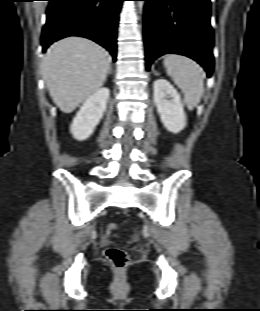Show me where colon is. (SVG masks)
<instances>
[{
  "mask_svg": "<svg viewBox=\"0 0 260 311\" xmlns=\"http://www.w3.org/2000/svg\"><path fill=\"white\" fill-rule=\"evenodd\" d=\"M118 229V225L115 223H109L106 228V234L111 235ZM105 256L109 263L116 269H123L128 265V254L120 248H108L105 251Z\"/></svg>",
  "mask_w": 260,
  "mask_h": 311,
  "instance_id": "obj_1",
  "label": "colon"
}]
</instances>
